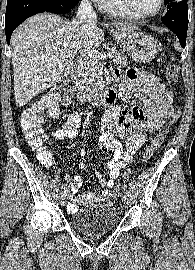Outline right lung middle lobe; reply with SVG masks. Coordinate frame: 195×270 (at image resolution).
Wrapping results in <instances>:
<instances>
[{"label":"right lung middle lobe","instance_id":"dd1d6c3e","mask_svg":"<svg viewBox=\"0 0 195 270\" xmlns=\"http://www.w3.org/2000/svg\"><path fill=\"white\" fill-rule=\"evenodd\" d=\"M60 2L61 3L55 8V12L58 14H65L75 6L73 0H60Z\"/></svg>","mask_w":195,"mask_h":270}]
</instances>
